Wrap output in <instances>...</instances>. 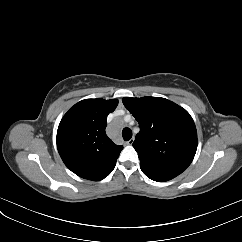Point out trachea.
Segmentation results:
<instances>
[{"label": "trachea", "instance_id": "3493384b", "mask_svg": "<svg viewBox=\"0 0 242 242\" xmlns=\"http://www.w3.org/2000/svg\"><path fill=\"white\" fill-rule=\"evenodd\" d=\"M122 136L125 141H128L132 137V131L129 128H124L122 131Z\"/></svg>", "mask_w": 242, "mask_h": 242}]
</instances>
